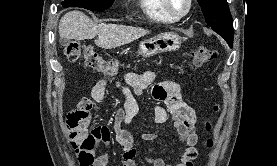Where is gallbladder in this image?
<instances>
[{"mask_svg":"<svg viewBox=\"0 0 277 166\" xmlns=\"http://www.w3.org/2000/svg\"><path fill=\"white\" fill-rule=\"evenodd\" d=\"M68 43H69V40H68V39H66V38H61V39H60V44H61L62 46H67Z\"/></svg>","mask_w":277,"mask_h":166,"instance_id":"bac80fb5","label":"gallbladder"}]
</instances>
